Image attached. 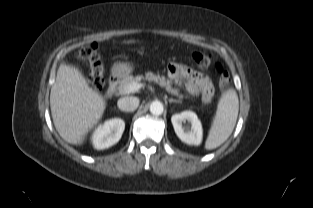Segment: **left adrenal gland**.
<instances>
[{
	"label": "left adrenal gland",
	"instance_id": "obj_1",
	"mask_svg": "<svg viewBox=\"0 0 313 208\" xmlns=\"http://www.w3.org/2000/svg\"><path fill=\"white\" fill-rule=\"evenodd\" d=\"M169 103L171 104L172 102H175V103H179L180 101H178V100H176V99H172V98H170L169 100Z\"/></svg>",
	"mask_w": 313,
	"mask_h": 208
}]
</instances>
